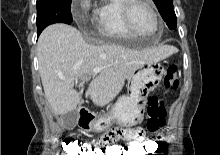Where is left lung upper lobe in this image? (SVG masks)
Wrapping results in <instances>:
<instances>
[{"label": "left lung upper lobe", "instance_id": "5c2ea615", "mask_svg": "<svg viewBox=\"0 0 220 155\" xmlns=\"http://www.w3.org/2000/svg\"><path fill=\"white\" fill-rule=\"evenodd\" d=\"M162 18L170 29H175L177 19L172 0H153Z\"/></svg>", "mask_w": 220, "mask_h": 155}]
</instances>
